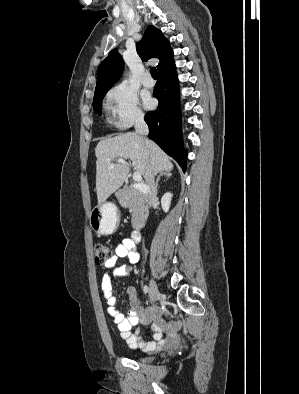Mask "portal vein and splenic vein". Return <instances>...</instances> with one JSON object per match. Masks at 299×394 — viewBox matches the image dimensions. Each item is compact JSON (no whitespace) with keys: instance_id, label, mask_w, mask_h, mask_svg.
Listing matches in <instances>:
<instances>
[{"instance_id":"obj_1","label":"portal vein and splenic vein","mask_w":299,"mask_h":394,"mask_svg":"<svg viewBox=\"0 0 299 394\" xmlns=\"http://www.w3.org/2000/svg\"><path fill=\"white\" fill-rule=\"evenodd\" d=\"M116 161H117L118 163H121V164H124V165H126V166H129V164H128L124 159H122V158H119V159H117ZM133 179H134V181H136V182H138V183H141V181H142L141 174H140L139 172H134V174H133Z\"/></svg>"}]
</instances>
